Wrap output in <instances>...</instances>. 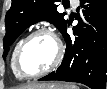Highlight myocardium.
Instances as JSON below:
<instances>
[{
	"instance_id": "1",
	"label": "myocardium",
	"mask_w": 107,
	"mask_h": 89,
	"mask_svg": "<svg viewBox=\"0 0 107 89\" xmlns=\"http://www.w3.org/2000/svg\"><path fill=\"white\" fill-rule=\"evenodd\" d=\"M38 34H47L54 39L56 46H57L56 57H55L54 61L50 64V66H48L46 69L33 73V74H27V73H24L20 68V56H21V53H22L25 45L28 43V41ZM63 55H64L63 45H62V42L60 41V39L58 38V36L56 35V33L48 27H39V28L33 30L32 32H30L20 42V44L17 48L16 54H15L14 65H15L16 71L19 73V75L21 77L37 78V77L43 76V75L53 71L61 63V61L63 59Z\"/></svg>"
}]
</instances>
